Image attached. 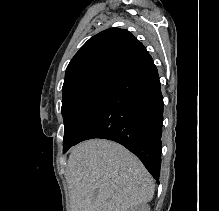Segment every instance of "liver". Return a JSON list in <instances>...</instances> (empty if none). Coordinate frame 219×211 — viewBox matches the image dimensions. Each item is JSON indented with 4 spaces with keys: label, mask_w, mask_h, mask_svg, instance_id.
<instances>
[{
    "label": "liver",
    "mask_w": 219,
    "mask_h": 211,
    "mask_svg": "<svg viewBox=\"0 0 219 211\" xmlns=\"http://www.w3.org/2000/svg\"><path fill=\"white\" fill-rule=\"evenodd\" d=\"M66 179L72 211H130L154 195V179L142 161L110 139L75 145Z\"/></svg>",
    "instance_id": "6515ba94"
}]
</instances>
